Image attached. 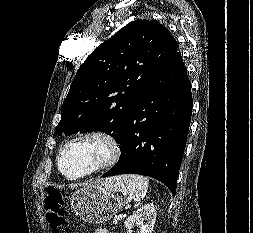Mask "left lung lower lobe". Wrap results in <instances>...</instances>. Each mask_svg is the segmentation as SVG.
<instances>
[{
  "label": "left lung lower lobe",
  "instance_id": "obj_1",
  "mask_svg": "<svg viewBox=\"0 0 253 233\" xmlns=\"http://www.w3.org/2000/svg\"><path fill=\"white\" fill-rule=\"evenodd\" d=\"M192 113L191 84L176 51L161 79L128 116L120 139L118 163L102 177L151 176L175 195Z\"/></svg>",
  "mask_w": 253,
  "mask_h": 233
}]
</instances>
